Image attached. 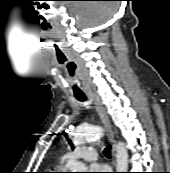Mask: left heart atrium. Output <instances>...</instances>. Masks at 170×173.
I'll list each match as a JSON object with an SVG mask.
<instances>
[{"instance_id": "obj_1", "label": "left heart atrium", "mask_w": 170, "mask_h": 173, "mask_svg": "<svg viewBox=\"0 0 170 173\" xmlns=\"http://www.w3.org/2000/svg\"><path fill=\"white\" fill-rule=\"evenodd\" d=\"M106 169L107 168L104 165H100V164H94L89 167L90 173H105Z\"/></svg>"}]
</instances>
